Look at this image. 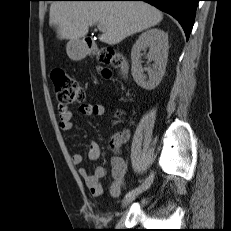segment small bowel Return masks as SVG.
Listing matches in <instances>:
<instances>
[{
  "mask_svg": "<svg viewBox=\"0 0 231 231\" xmlns=\"http://www.w3.org/2000/svg\"><path fill=\"white\" fill-rule=\"evenodd\" d=\"M79 112L84 116L100 117L104 114V107L101 104H83L79 107ZM59 128L65 132L72 130V112L70 110L63 108L59 111ZM128 138L129 131L126 130L114 135L110 140V147L115 152V155L111 160L112 167L110 174L113 180L109 185L108 192L114 198L120 196L125 184V163L118 153L121 145ZM88 158L94 162L100 160L101 150L97 142L90 143ZM82 160L83 158L80 153H74L71 156V161L74 165H80ZM78 172L93 197H99L103 194V187L100 180L108 174V170L105 167L95 165L92 170L81 167Z\"/></svg>",
  "mask_w": 231,
  "mask_h": 231,
  "instance_id": "obj_1",
  "label": "small bowel"
}]
</instances>
